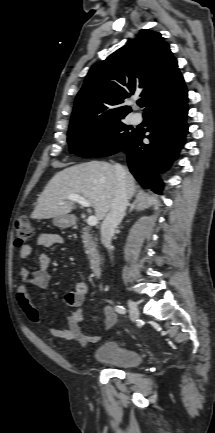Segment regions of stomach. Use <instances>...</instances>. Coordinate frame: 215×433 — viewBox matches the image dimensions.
<instances>
[{
    "label": "stomach",
    "mask_w": 215,
    "mask_h": 433,
    "mask_svg": "<svg viewBox=\"0 0 215 433\" xmlns=\"http://www.w3.org/2000/svg\"><path fill=\"white\" fill-rule=\"evenodd\" d=\"M75 223V218L72 215L57 216L53 219V224L59 228H69Z\"/></svg>",
    "instance_id": "stomach-1"
}]
</instances>
